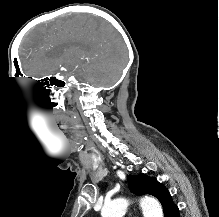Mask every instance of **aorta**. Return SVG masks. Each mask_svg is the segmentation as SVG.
Returning a JSON list of instances; mask_svg holds the SVG:
<instances>
[{"label":"aorta","instance_id":"762f6f07","mask_svg":"<svg viewBox=\"0 0 219 217\" xmlns=\"http://www.w3.org/2000/svg\"><path fill=\"white\" fill-rule=\"evenodd\" d=\"M125 199H117L105 204L101 210L102 217H123L127 209ZM144 217H163L160 203L153 198H144L140 202Z\"/></svg>","mask_w":219,"mask_h":217}]
</instances>
